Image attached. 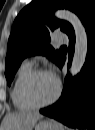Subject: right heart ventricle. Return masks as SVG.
<instances>
[{"mask_svg": "<svg viewBox=\"0 0 95 130\" xmlns=\"http://www.w3.org/2000/svg\"><path fill=\"white\" fill-rule=\"evenodd\" d=\"M31 70L32 65L30 63L28 62L22 63L16 72L14 82L12 85L11 99L15 108L20 111H30L34 109L33 107H31L29 104L26 103L22 95V86L24 80L26 79L27 75L31 72Z\"/></svg>", "mask_w": 95, "mask_h": 130, "instance_id": "obj_1", "label": "right heart ventricle"}]
</instances>
